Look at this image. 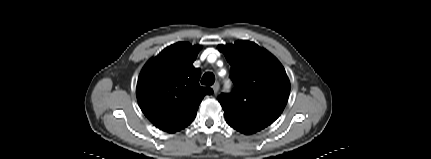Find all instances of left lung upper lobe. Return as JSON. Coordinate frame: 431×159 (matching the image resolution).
<instances>
[{"label": "left lung upper lobe", "instance_id": "obj_1", "mask_svg": "<svg viewBox=\"0 0 431 159\" xmlns=\"http://www.w3.org/2000/svg\"><path fill=\"white\" fill-rule=\"evenodd\" d=\"M231 65L233 93L219 102L226 122L244 134L260 131L284 110L290 82L281 63L267 50L250 41L219 45Z\"/></svg>", "mask_w": 431, "mask_h": 159}]
</instances>
